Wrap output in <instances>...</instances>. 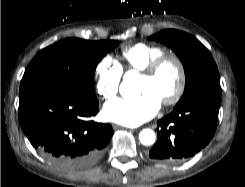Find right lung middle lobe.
<instances>
[{
    "instance_id": "right-lung-middle-lobe-1",
    "label": "right lung middle lobe",
    "mask_w": 245,
    "mask_h": 187,
    "mask_svg": "<svg viewBox=\"0 0 245 187\" xmlns=\"http://www.w3.org/2000/svg\"><path fill=\"white\" fill-rule=\"evenodd\" d=\"M118 41H86L69 38L39 52L28 65L20 85V94L38 87H60L97 99L95 69Z\"/></svg>"
}]
</instances>
